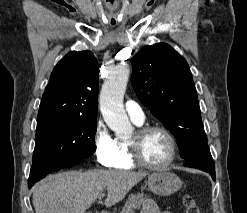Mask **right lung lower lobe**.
Returning <instances> with one entry per match:
<instances>
[{"mask_svg":"<svg viewBox=\"0 0 247 213\" xmlns=\"http://www.w3.org/2000/svg\"><path fill=\"white\" fill-rule=\"evenodd\" d=\"M37 181H38V179H29L28 180V187L31 188L35 184V182H37Z\"/></svg>","mask_w":247,"mask_h":213,"instance_id":"1","label":"right lung lower lobe"}]
</instances>
